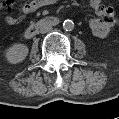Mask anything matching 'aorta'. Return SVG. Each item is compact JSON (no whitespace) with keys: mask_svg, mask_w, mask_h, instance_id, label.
<instances>
[{"mask_svg":"<svg viewBox=\"0 0 119 119\" xmlns=\"http://www.w3.org/2000/svg\"><path fill=\"white\" fill-rule=\"evenodd\" d=\"M74 28V23L71 20H65L63 22V29L66 31H71Z\"/></svg>","mask_w":119,"mask_h":119,"instance_id":"1","label":"aorta"}]
</instances>
